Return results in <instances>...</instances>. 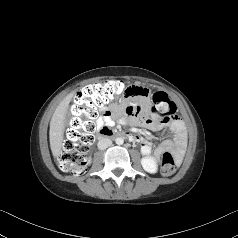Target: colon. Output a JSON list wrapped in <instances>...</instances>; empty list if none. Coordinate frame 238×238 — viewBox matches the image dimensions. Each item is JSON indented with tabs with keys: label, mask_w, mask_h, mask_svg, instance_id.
I'll return each instance as SVG.
<instances>
[{
	"label": "colon",
	"mask_w": 238,
	"mask_h": 238,
	"mask_svg": "<svg viewBox=\"0 0 238 238\" xmlns=\"http://www.w3.org/2000/svg\"><path fill=\"white\" fill-rule=\"evenodd\" d=\"M131 94L120 81H102L82 88L75 96L72 105L73 118L58 159L59 168L70 174H81L85 170L87 153L98 129L95 118L100 108L115 97ZM152 119L168 122L176 117V106L163 92L153 95ZM176 170V160L171 152H165L161 159V172L165 176Z\"/></svg>",
	"instance_id": "5ec220e1"
}]
</instances>
